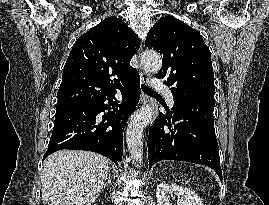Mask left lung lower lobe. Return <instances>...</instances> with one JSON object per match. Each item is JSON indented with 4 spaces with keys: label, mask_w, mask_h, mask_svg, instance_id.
Returning a JSON list of instances; mask_svg holds the SVG:
<instances>
[{
    "label": "left lung lower lobe",
    "mask_w": 269,
    "mask_h": 205,
    "mask_svg": "<svg viewBox=\"0 0 269 205\" xmlns=\"http://www.w3.org/2000/svg\"><path fill=\"white\" fill-rule=\"evenodd\" d=\"M214 106L210 99H174L172 112L159 113L148 136L149 168L160 160L188 161L212 168L222 180Z\"/></svg>",
    "instance_id": "0a47b994"
}]
</instances>
